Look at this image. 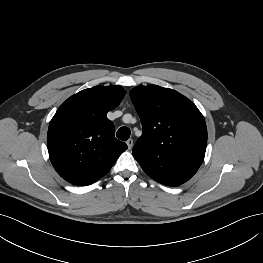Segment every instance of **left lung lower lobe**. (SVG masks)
<instances>
[{
	"mask_svg": "<svg viewBox=\"0 0 263 263\" xmlns=\"http://www.w3.org/2000/svg\"><path fill=\"white\" fill-rule=\"evenodd\" d=\"M193 175L186 170L168 165L162 167L155 175L150 177L167 186H178L188 181Z\"/></svg>",
	"mask_w": 263,
	"mask_h": 263,
	"instance_id": "0a47b994",
	"label": "left lung lower lobe"
}]
</instances>
